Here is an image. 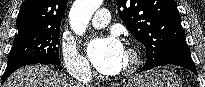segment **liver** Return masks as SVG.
I'll list each match as a JSON object with an SVG mask.
<instances>
[{
	"label": "liver",
	"mask_w": 205,
	"mask_h": 87,
	"mask_svg": "<svg viewBox=\"0 0 205 87\" xmlns=\"http://www.w3.org/2000/svg\"><path fill=\"white\" fill-rule=\"evenodd\" d=\"M3 87H82L70 78L37 64L16 70L4 82Z\"/></svg>",
	"instance_id": "liver-1"
}]
</instances>
